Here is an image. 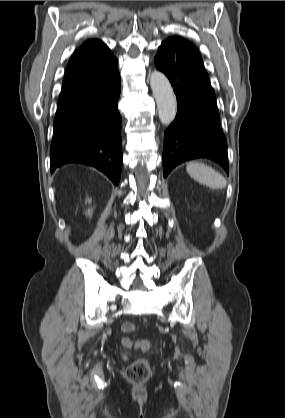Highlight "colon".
Instances as JSON below:
<instances>
[{
  "label": "colon",
  "mask_w": 285,
  "mask_h": 418,
  "mask_svg": "<svg viewBox=\"0 0 285 418\" xmlns=\"http://www.w3.org/2000/svg\"><path fill=\"white\" fill-rule=\"evenodd\" d=\"M121 330L124 333H133L136 332V327L130 323L125 322L121 326ZM123 345H129L130 340L128 338H124L122 340ZM149 348V343L147 340H140L139 341V349L147 350ZM151 373L150 363L147 359L141 358L135 360L126 370V378L129 382L133 384H139L148 379Z\"/></svg>",
  "instance_id": "obj_1"
}]
</instances>
